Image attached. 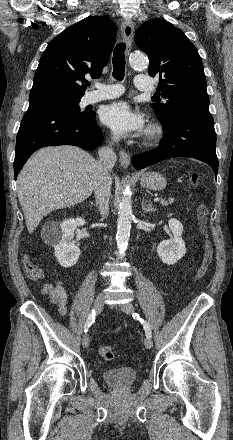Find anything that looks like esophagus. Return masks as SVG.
Wrapping results in <instances>:
<instances>
[{
  "label": "esophagus",
  "instance_id": "esophagus-1",
  "mask_svg": "<svg viewBox=\"0 0 233 440\" xmlns=\"http://www.w3.org/2000/svg\"><path fill=\"white\" fill-rule=\"evenodd\" d=\"M133 32H134V26L133 23L130 21H124L121 24V33L123 41L126 44V53L129 54L131 49V43L133 38ZM119 161L123 168H128L130 165V155L123 151H119Z\"/></svg>",
  "mask_w": 233,
  "mask_h": 440
}]
</instances>
